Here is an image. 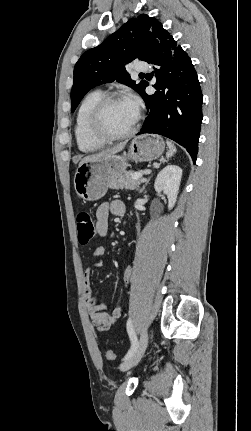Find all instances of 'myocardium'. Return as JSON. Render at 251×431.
Instances as JSON below:
<instances>
[{"label":"myocardium","instance_id":"1","mask_svg":"<svg viewBox=\"0 0 251 431\" xmlns=\"http://www.w3.org/2000/svg\"><path fill=\"white\" fill-rule=\"evenodd\" d=\"M120 100H124V97L119 94L112 93L102 96V98L94 105L89 114L87 123L88 132L92 138L107 143L128 138L136 132L142 117L140 110L137 111V116L132 127L123 133L111 134L103 128L102 116L106 107L111 103Z\"/></svg>","mask_w":251,"mask_h":431}]
</instances>
